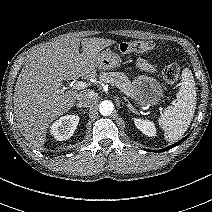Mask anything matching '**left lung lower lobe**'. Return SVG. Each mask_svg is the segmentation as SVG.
<instances>
[{
  "mask_svg": "<svg viewBox=\"0 0 212 212\" xmlns=\"http://www.w3.org/2000/svg\"><path fill=\"white\" fill-rule=\"evenodd\" d=\"M188 137V135L184 138H182L180 141L176 142L175 144H172L171 146H168L164 149H160V150H154V152H164V151H167V150H170L171 148L175 147V146H178L180 145L182 142H184L186 140V138Z\"/></svg>",
  "mask_w": 212,
  "mask_h": 212,
  "instance_id": "1",
  "label": "left lung lower lobe"
}]
</instances>
